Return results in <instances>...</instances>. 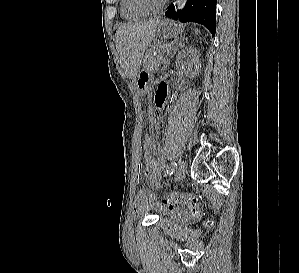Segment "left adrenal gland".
I'll use <instances>...</instances> for the list:
<instances>
[{"instance_id":"obj_1","label":"left adrenal gland","mask_w":299,"mask_h":273,"mask_svg":"<svg viewBox=\"0 0 299 273\" xmlns=\"http://www.w3.org/2000/svg\"><path fill=\"white\" fill-rule=\"evenodd\" d=\"M183 39H184V38L182 37V38L180 39L179 43L176 42V45H175V47H174V50H173V52H172L170 58H172V57L175 55V53H176V51L178 50L179 47H183V43H182V40H183ZM170 58L167 60V63H166V65H165V68H167V66L170 64Z\"/></svg>"}]
</instances>
